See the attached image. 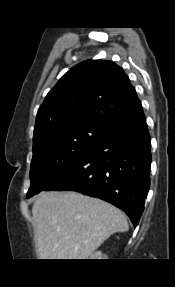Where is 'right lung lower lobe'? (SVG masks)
Wrapping results in <instances>:
<instances>
[{
	"label": "right lung lower lobe",
	"mask_w": 175,
	"mask_h": 287,
	"mask_svg": "<svg viewBox=\"0 0 175 287\" xmlns=\"http://www.w3.org/2000/svg\"><path fill=\"white\" fill-rule=\"evenodd\" d=\"M150 145L141 108L109 125L87 154L42 190H71L100 198L122 209L137 225L150 186Z\"/></svg>",
	"instance_id": "98d812e1"
}]
</instances>
